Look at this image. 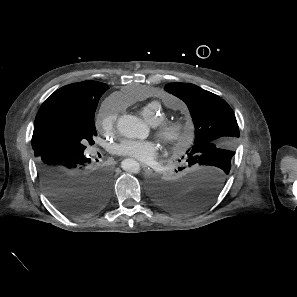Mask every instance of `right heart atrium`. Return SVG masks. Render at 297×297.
I'll use <instances>...</instances> for the list:
<instances>
[{"label":"right heart atrium","mask_w":297,"mask_h":297,"mask_svg":"<svg viewBox=\"0 0 297 297\" xmlns=\"http://www.w3.org/2000/svg\"><path fill=\"white\" fill-rule=\"evenodd\" d=\"M119 110L120 108L114 98H108L102 103L98 115V124L103 133L109 134L113 131Z\"/></svg>","instance_id":"right-heart-atrium-1"}]
</instances>
